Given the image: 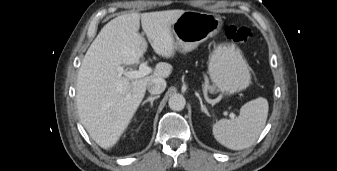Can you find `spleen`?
Masks as SVG:
<instances>
[{
	"label": "spleen",
	"mask_w": 337,
	"mask_h": 171,
	"mask_svg": "<svg viewBox=\"0 0 337 171\" xmlns=\"http://www.w3.org/2000/svg\"><path fill=\"white\" fill-rule=\"evenodd\" d=\"M269 105L267 99L256 98L245 103L235 119H220L213 125V135L223 146L231 150L250 147L265 127Z\"/></svg>",
	"instance_id": "1"
}]
</instances>
